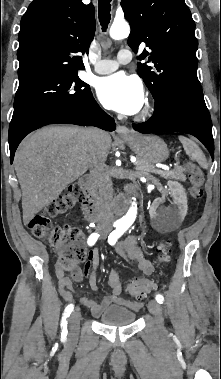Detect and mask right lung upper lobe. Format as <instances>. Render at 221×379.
<instances>
[{"instance_id": "obj_1", "label": "right lung upper lobe", "mask_w": 221, "mask_h": 379, "mask_svg": "<svg viewBox=\"0 0 221 379\" xmlns=\"http://www.w3.org/2000/svg\"><path fill=\"white\" fill-rule=\"evenodd\" d=\"M94 6L81 0H34L21 20L19 82L44 74L77 72L95 32Z\"/></svg>"}]
</instances>
